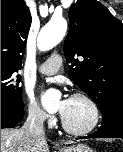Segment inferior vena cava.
I'll use <instances>...</instances> for the list:
<instances>
[{
    "label": "inferior vena cava",
    "mask_w": 123,
    "mask_h": 152,
    "mask_svg": "<svg viewBox=\"0 0 123 152\" xmlns=\"http://www.w3.org/2000/svg\"><path fill=\"white\" fill-rule=\"evenodd\" d=\"M44 118V113L41 111L30 112L23 125V129L34 136L45 138Z\"/></svg>",
    "instance_id": "inferior-vena-cava-1"
}]
</instances>
